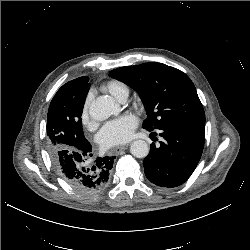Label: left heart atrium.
<instances>
[{"label":"left heart atrium","mask_w":250,"mask_h":250,"mask_svg":"<svg viewBox=\"0 0 250 250\" xmlns=\"http://www.w3.org/2000/svg\"><path fill=\"white\" fill-rule=\"evenodd\" d=\"M137 127V119L131 114L123 115L117 119L107 122L97 139L101 147L110 148L128 142Z\"/></svg>","instance_id":"1"}]
</instances>
